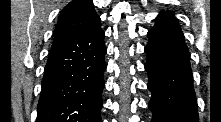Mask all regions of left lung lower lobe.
<instances>
[{"label": "left lung lower lobe", "mask_w": 221, "mask_h": 122, "mask_svg": "<svg viewBox=\"0 0 221 122\" xmlns=\"http://www.w3.org/2000/svg\"><path fill=\"white\" fill-rule=\"evenodd\" d=\"M147 35L151 122H198L190 54L176 17L162 12Z\"/></svg>", "instance_id": "obj_1"}]
</instances>
